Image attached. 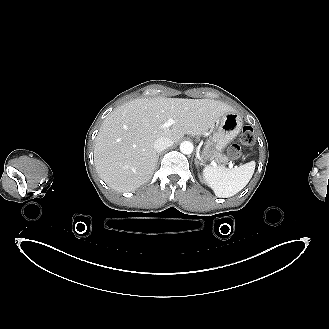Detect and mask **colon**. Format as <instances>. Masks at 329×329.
<instances>
[{"label": "colon", "instance_id": "colon-1", "mask_svg": "<svg viewBox=\"0 0 329 329\" xmlns=\"http://www.w3.org/2000/svg\"><path fill=\"white\" fill-rule=\"evenodd\" d=\"M239 140L243 145H246V146L253 145L255 142V136H254L253 129L248 126L244 127L240 134ZM231 155L233 157H238L240 155V147L238 145L232 146Z\"/></svg>", "mask_w": 329, "mask_h": 329}]
</instances>
